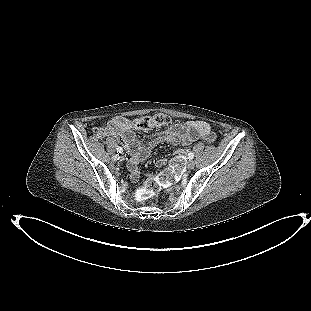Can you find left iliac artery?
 I'll return each mask as SVG.
<instances>
[{
	"instance_id": "44dca946",
	"label": "left iliac artery",
	"mask_w": 311,
	"mask_h": 311,
	"mask_svg": "<svg viewBox=\"0 0 311 311\" xmlns=\"http://www.w3.org/2000/svg\"><path fill=\"white\" fill-rule=\"evenodd\" d=\"M188 157H189V159H193L194 154H193L192 152H189V153H188Z\"/></svg>"
}]
</instances>
